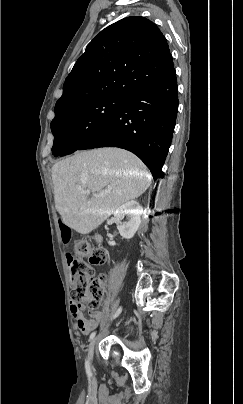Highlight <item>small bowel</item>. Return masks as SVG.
Returning <instances> with one entry per match:
<instances>
[{
	"label": "small bowel",
	"instance_id": "small-bowel-1",
	"mask_svg": "<svg viewBox=\"0 0 243 404\" xmlns=\"http://www.w3.org/2000/svg\"><path fill=\"white\" fill-rule=\"evenodd\" d=\"M61 231H62V236H63V240L64 241H68L69 237H70V230L65 227L62 226L61 227ZM73 256H71L70 254H67V260L69 265H71ZM85 308V304L83 302H77V303H73L71 305V312L73 317L76 320V325L78 327V329L80 331H82L84 334H88L91 330H93L94 328L97 327L101 315L99 313H94L92 315L91 319H87L85 318L84 314H83V310Z\"/></svg>",
	"mask_w": 243,
	"mask_h": 404
}]
</instances>
